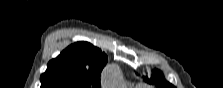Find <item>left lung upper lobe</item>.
<instances>
[{"mask_svg":"<svg viewBox=\"0 0 223 88\" xmlns=\"http://www.w3.org/2000/svg\"><path fill=\"white\" fill-rule=\"evenodd\" d=\"M144 79L146 82L155 84L160 88H174L172 84H170L163 78L162 73L159 70H154L153 75L150 79H148V77H144Z\"/></svg>","mask_w":223,"mask_h":88,"instance_id":"left-lung-upper-lobe-1","label":"left lung upper lobe"}]
</instances>
